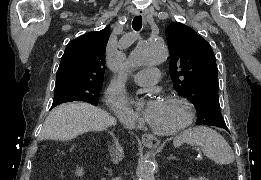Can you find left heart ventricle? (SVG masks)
<instances>
[{
    "label": "left heart ventricle",
    "mask_w": 261,
    "mask_h": 180,
    "mask_svg": "<svg viewBox=\"0 0 261 180\" xmlns=\"http://www.w3.org/2000/svg\"><path fill=\"white\" fill-rule=\"evenodd\" d=\"M184 116V107L178 101L163 98L146 121L153 133H171L178 129Z\"/></svg>",
    "instance_id": "b2bd125f"
}]
</instances>
